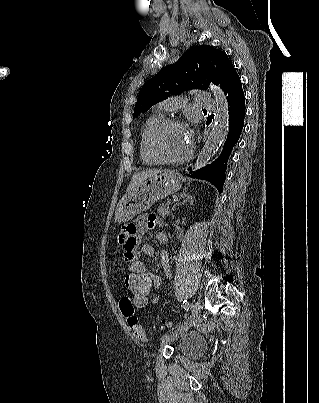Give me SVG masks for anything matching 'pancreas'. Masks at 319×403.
<instances>
[{"label":"pancreas","instance_id":"pancreas-1","mask_svg":"<svg viewBox=\"0 0 319 403\" xmlns=\"http://www.w3.org/2000/svg\"><path fill=\"white\" fill-rule=\"evenodd\" d=\"M158 213L162 218L166 219L170 214L169 206L167 204H162L158 209Z\"/></svg>","mask_w":319,"mask_h":403}]
</instances>
